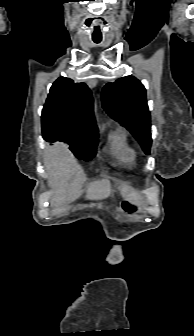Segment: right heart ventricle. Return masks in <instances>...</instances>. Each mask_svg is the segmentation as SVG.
Listing matches in <instances>:
<instances>
[{
	"mask_svg": "<svg viewBox=\"0 0 194 336\" xmlns=\"http://www.w3.org/2000/svg\"><path fill=\"white\" fill-rule=\"evenodd\" d=\"M110 152L121 163L130 164L135 160V150L129 145L127 133L123 128H117L109 136Z\"/></svg>",
	"mask_w": 194,
	"mask_h": 336,
	"instance_id": "1",
	"label": "right heart ventricle"
}]
</instances>
